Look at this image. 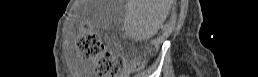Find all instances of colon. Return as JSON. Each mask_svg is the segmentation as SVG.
<instances>
[{
	"label": "colon",
	"mask_w": 258,
	"mask_h": 77,
	"mask_svg": "<svg viewBox=\"0 0 258 77\" xmlns=\"http://www.w3.org/2000/svg\"><path fill=\"white\" fill-rule=\"evenodd\" d=\"M76 46L79 54L83 58H96L98 60L96 66V72L98 74L120 71L128 64V62L121 57L105 53L103 43L99 36L92 31L87 30L85 34L78 39ZM141 66L142 63L140 62L134 64L136 69L141 68Z\"/></svg>",
	"instance_id": "1"
}]
</instances>
